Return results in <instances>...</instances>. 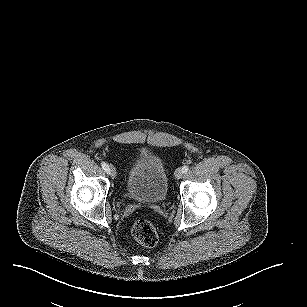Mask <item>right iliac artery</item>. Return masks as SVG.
<instances>
[{
	"label": "right iliac artery",
	"mask_w": 307,
	"mask_h": 307,
	"mask_svg": "<svg viewBox=\"0 0 307 307\" xmlns=\"http://www.w3.org/2000/svg\"><path fill=\"white\" fill-rule=\"evenodd\" d=\"M101 166L106 172L108 171V164L106 162L102 161Z\"/></svg>",
	"instance_id": "right-iliac-artery-1"
}]
</instances>
